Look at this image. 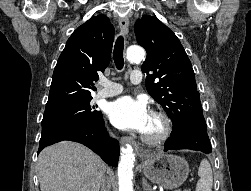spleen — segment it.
<instances>
[{
    "label": "spleen",
    "instance_id": "obj_1",
    "mask_svg": "<svg viewBox=\"0 0 251 191\" xmlns=\"http://www.w3.org/2000/svg\"><path fill=\"white\" fill-rule=\"evenodd\" d=\"M198 175L200 179L197 181L196 191H212L213 173L208 159H201Z\"/></svg>",
    "mask_w": 251,
    "mask_h": 191
}]
</instances>
